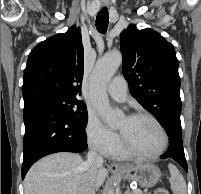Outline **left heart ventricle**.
I'll list each match as a JSON object with an SVG mask.
<instances>
[{
    "label": "left heart ventricle",
    "instance_id": "left-heart-ventricle-1",
    "mask_svg": "<svg viewBox=\"0 0 201 194\" xmlns=\"http://www.w3.org/2000/svg\"><path fill=\"white\" fill-rule=\"evenodd\" d=\"M118 128L130 147L140 153H154L162 145L159 129L147 118L125 117Z\"/></svg>",
    "mask_w": 201,
    "mask_h": 194
}]
</instances>
